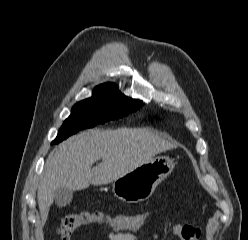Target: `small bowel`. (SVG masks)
<instances>
[{"label":"small bowel","instance_id":"small-bowel-1","mask_svg":"<svg viewBox=\"0 0 248 240\" xmlns=\"http://www.w3.org/2000/svg\"><path fill=\"white\" fill-rule=\"evenodd\" d=\"M171 227L169 222H164L159 231L152 234L149 238L138 233L111 232L107 235L109 240H156L159 232ZM174 238L170 240H198L201 236L199 227L192 224L177 223L172 226Z\"/></svg>","mask_w":248,"mask_h":240}]
</instances>
